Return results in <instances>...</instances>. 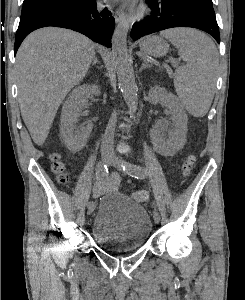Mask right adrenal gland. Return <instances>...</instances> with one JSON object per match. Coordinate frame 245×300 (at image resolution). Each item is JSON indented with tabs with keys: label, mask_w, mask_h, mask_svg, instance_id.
Returning a JSON list of instances; mask_svg holds the SVG:
<instances>
[{
	"label": "right adrenal gland",
	"mask_w": 245,
	"mask_h": 300,
	"mask_svg": "<svg viewBox=\"0 0 245 300\" xmlns=\"http://www.w3.org/2000/svg\"><path fill=\"white\" fill-rule=\"evenodd\" d=\"M96 63L99 64V61L97 60V57H96V55H95V56H94V59H93V62H92L91 65L93 66V65H95Z\"/></svg>",
	"instance_id": "2a0ac1e0"
}]
</instances>
